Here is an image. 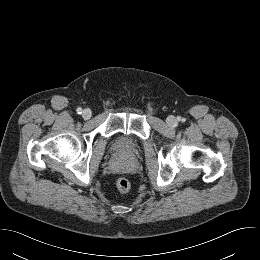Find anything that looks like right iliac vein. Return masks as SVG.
I'll list each match as a JSON object with an SVG mask.
<instances>
[{
  "label": "right iliac vein",
  "instance_id": "obj_1",
  "mask_svg": "<svg viewBox=\"0 0 260 260\" xmlns=\"http://www.w3.org/2000/svg\"><path fill=\"white\" fill-rule=\"evenodd\" d=\"M91 116H92V112H91L90 109H84L83 110V112H82L83 119L88 120V119L91 118Z\"/></svg>",
  "mask_w": 260,
  "mask_h": 260
}]
</instances>
